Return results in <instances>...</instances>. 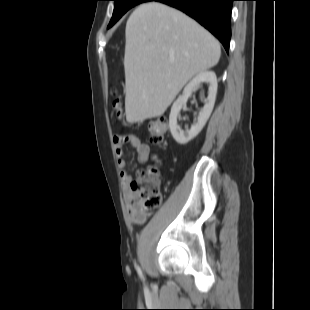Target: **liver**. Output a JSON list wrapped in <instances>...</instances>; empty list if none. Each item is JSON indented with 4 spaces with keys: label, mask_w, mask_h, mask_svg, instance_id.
Segmentation results:
<instances>
[{
    "label": "liver",
    "mask_w": 310,
    "mask_h": 310,
    "mask_svg": "<svg viewBox=\"0 0 310 310\" xmlns=\"http://www.w3.org/2000/svg\"><path fill=\"white\" fill-rule=\"evenodd\" d=\"M125 113L129 123L164 114L184 85L214 67L219 42L184 13L144 3L125 30Z\"/></svg>",
    "instance_id": "1"
}]
</instances>
